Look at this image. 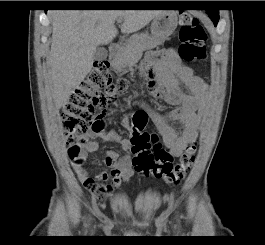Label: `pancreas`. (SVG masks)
Returning <instances> with one entry per match:
<instances>
[{
	"mask_svg": "<svg viewBox=\"0 0 265 245\" xmlns=\"http://www.w3.org/2000/svg\"><path fill=\"white\" fill-rule=\"evenodd\" d=\"M161 42L160 39L152 38L147 33L133 35L114 58L113 68L118 72H125L127 67L131 68L138 62L145 49L154 48Z\"/></svg>",
	"mask_w": 265,
	"mask_h": 245,
	"instance_id": "pancreas-1",
	"label": "pancreas"
}]
</instances>
